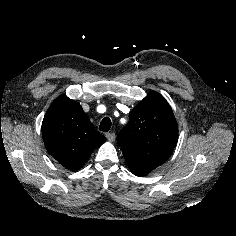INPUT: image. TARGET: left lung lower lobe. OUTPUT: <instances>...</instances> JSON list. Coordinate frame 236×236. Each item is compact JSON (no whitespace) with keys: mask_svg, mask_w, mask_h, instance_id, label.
I'll return each instance as SVG.
<instances>
[{"mask_svg":"<svg viewBox=\"0 0 236 236\" xmlns=\"http://www.w3.org/2000/svg\"><path fill=\"white\" fill-rule=\"evenodd\" d=\"M126 162L131 172L136 176H144L156 168L153 165L137 162L134 160H126Z\"/></svg>","mask_w":236,"mask_h":236,"instance_id":"obj_1","label":"left lung lower lobe"}]
</instances>
